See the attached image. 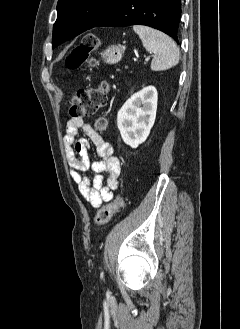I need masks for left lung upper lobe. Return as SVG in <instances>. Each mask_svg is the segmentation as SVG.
Wrapping results in <instances>:
<instances>
[{
	"instance_id": "1",
	"label": "left lung upper lobe",
	"mask_w": 240,
	"mask_h": 329,
	"mask_svg": "<svg viewBox=\"0 0 240 329\" xmlns=\"http://www.w3.org/2000/svg\"><path fill=\"white\" fill-rule=\"evenodd\" d=\"M120 0H59L52 47L95 27Z\"/></svg>"
}]
</instances>
